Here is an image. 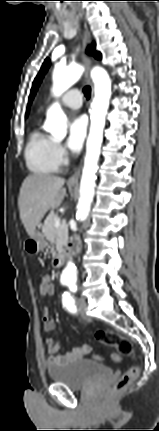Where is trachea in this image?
<instances>
[{"label": "trachea", "mask_w": 159, "mask_h": 431, "mask_svg": "<svg viewBox=\"0 0 159 431\" xmlns=\"http://www.w3.org/2000/svg\"><path fill=\"white\" fill-rule=\"evenodd\" d=\"M83 92H84L85 97L87 99H89L90 95H91V88H90V86H85L84 89H83Z\"/></svg>", "instance_id": "obj_1"}]
</instances>
